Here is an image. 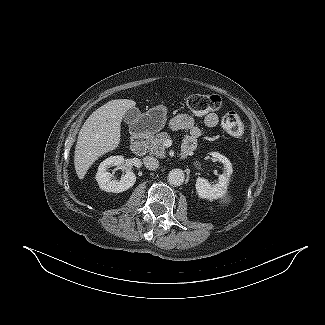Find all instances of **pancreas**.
Returning a JSON list of instances; mask_svg holds the SVG:
<instances>
[{"mask_svg":"<svg viewBox=\"0 0 325 325\" xmlns=\"http://www.w3.org/2000/svg\"><path fill=\"white\" fill-rule=\"evenodd\" d=\"M169 138L170 135L167 132H161L152 137L148 148L150 153L156 157L164 158L166 154L164 141Z\"/></svg>","mask_w":325,"mask_h":325,"instance_id":"pancreas-1","label":"pancreas"}]
</instances>
